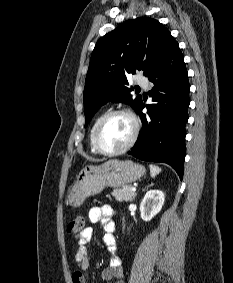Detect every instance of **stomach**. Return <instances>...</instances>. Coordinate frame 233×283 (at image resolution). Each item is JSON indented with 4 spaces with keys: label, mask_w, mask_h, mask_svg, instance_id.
Returning a JSON list of instances; mask_svg holds the SVG:
<instances>
[{
    "label": "stomach",
    "mask_w": 233,
    "mask_h": 283,
    "mask_svg": "<svg viewBox=\"0 0 233 283\" xmlns=\"http://www.w3.org/2000/svg\"><path fill=\"white\" fill-rule=\"evenodd\" d=\"M145 167L130 160H109L101 165L85 166L77 176L67 196V204L79 207L86 198L103 191L105 187L119 188L144 176Z\"/></svg>",
    "instance_id": "1"
}]
</instances>
